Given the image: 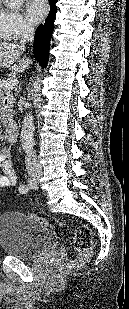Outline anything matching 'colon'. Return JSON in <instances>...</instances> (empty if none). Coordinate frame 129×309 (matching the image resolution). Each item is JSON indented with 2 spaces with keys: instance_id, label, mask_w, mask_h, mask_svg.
Instances as JSON below:
<instances>
[{
  "instance_id": "5ec220e1",
  "label": "colon",
  "mask_w": 129,
  "mask_h": 309,
  "mask_svg": "<svg viewBox=\"0 0 129 309\" xmlns=\"http://www.w3.org/2000/svg\"><path fill=\"white\" fill-rule=\"evenodd\" d=\"M38 222L48 225L43 219L36 215H31ZM72 239L75 250L78 252V257L66 264L65 270L82 266L91 256L93 248V239L90 229L87 226H79L72 232Z\"/></svg>"
}]
</instances>
